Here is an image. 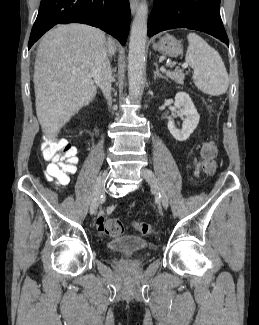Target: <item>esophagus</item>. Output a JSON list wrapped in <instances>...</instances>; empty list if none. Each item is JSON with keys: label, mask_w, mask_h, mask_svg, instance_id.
I'll return each mask as SVG.
<instances>
[{"label": "esophagus", "mask_w": 259, "mask_h": 325, "mask_svg": "<svg viewBox=\"0 0 259 325\" xmlns=\"http://www.w3.org/2000/svg\"><path fill=\"white\" fill-rule=\"evenodd\" d=\"M131 13L134 15L138 9V0H130Z\"/></svg>", "instance_id": "34e87169"}]
</instances>
